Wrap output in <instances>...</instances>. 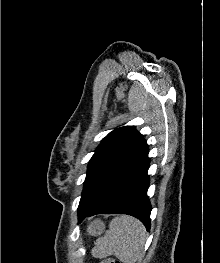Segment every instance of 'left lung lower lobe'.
Wrapping results in <instances>:
<instances>
[{"label": "left lung lower lobe", "mask_w": 220, "mask_h": 263, "mask_svg": "<svg viewBox=\"0 0 220 263\" xmlns=\"http://www.w3.org/2000/svg\"><path fill=\"white\" fill-rule=\"evenodd\" d=\"M149 163L147 152L92 207L78 211V222L101 213L128 214L138 218L150 230Z\"/></svg>", "instance_id": "obj_1"}]
</instances>
